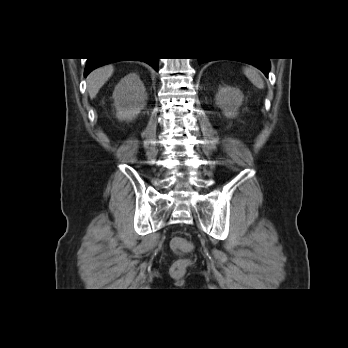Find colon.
I'll return each instance as SVG.
<instances>
[{
  "instance_id": "5ec220e1",
  "label": "colon",
  "mask_w": 348,
  "mask_h": 348,
  "mask_svg": "<svg viewBox=\"0 0 348 348\" xmlns=\"http://www.w3.org/2000/svg\"><path fill=\"white\" fill-rule=\"evenodd\" d=\"M171 249L178 254H187L192 250L191 243L183 237H173L170 241ZM190 261L187 258H180L174 262L171 267V273L173 276L182 275L187 267L189 266Z\"/></svg>"
}]
</instances>
